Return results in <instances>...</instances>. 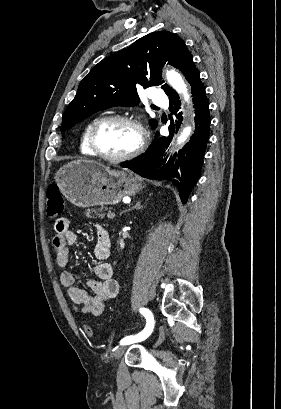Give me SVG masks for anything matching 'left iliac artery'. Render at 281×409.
<instances>
[{
	"label": "left iliac artery",
	"instance_id": "1",
	"mask_svg": "<svg viewBox=\"0 0 281 409\" xmlns=\"http://www.w3.org/2000/svg\"><path fill=\"white\" fill-rule=\"evenodd\" d=\"M140 313L145 317L146 319V326L142 332H140L137 335H131L124 337L120 344L121 345H128L134 342L142 341L146 339L153 331L154 328V318L150 310L147 308H141Z\"/></svg>",
	"mask_w": 281,
	"mask_h": 409
}]
</instances>
